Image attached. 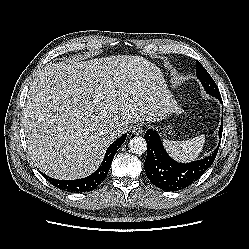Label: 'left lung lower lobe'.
<instances>
[{
  "mask_svg": "<svg viewBox=\"0 0 249 249\" xmlns=\"http://www.w3.org/2000/svg\"><path fill=\"white\" fill-rule=\"evenodd\" d=\"M217 99L222 103L221 97ZM222 131L223 116L219 129L220 141ZM144 138L147 142V157L144 162L147 178L152 184L166 191L184 189L198 180L214 162L219 148L218 145L214 152L204 159L183 164L168 156L155 130L148 129Z\"/></svg>",
  "mask_w": 249,
  "mask_h": 249,
  "instance_id": "0a47b994",
  "label": "left lung lower lobe"
}]
</instances>
